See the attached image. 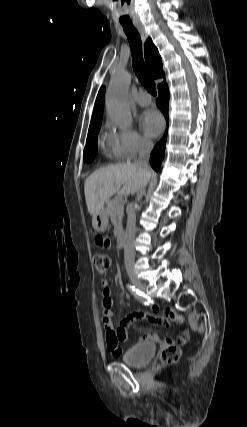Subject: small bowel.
<instances>
[{"label":"small bowel","instance_id":"small-bowel-1","mask_svg":"<svg viewBox=\"0 0 247 427\" xmlns=\"http://www.w3.org/2000/svg\"><path fill=\"white\" fill-rule=\"evenodd\" d=\"M95 246L99 250H109L112 247L111 240L105 236L99 235L94 240ZM102 307H103V316L102 324L106 332V343L107 348L111 351L114 356H118L122 352L120 343L126 342L128 340V327L138 319H145L149 322L165 325L167 326L170 322H175L179 325L184 324V318L182 315L178 314L171 308H167L164 312V315H158L159 308L154 306L152 308V313L144 311H135L128 313L124 319L120 322L117 329L113 327V299L111 296V290L109 287V280H102ZM189 338V330L187 328H182L179 333L177 340L179 343H186ZM143 341L157 342L159 337L156 333L149 332L143 339ZM173 340L170 337H165L163 339L164 345L172 344Z\"/></svg>","mask_w":247,"mask_h":427}]
</instances>
